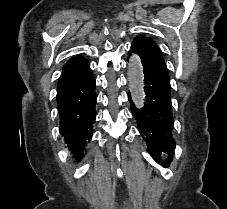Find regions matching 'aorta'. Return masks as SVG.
<instances>
[{
  "instance_id": "1",
  "label": "aorta",
  "mask_w": 227,
  "mask_h": 209,
  "mask_svg": "<svg viewBox=\"0 0 227 209\" xmlns=\"http://www.w3.org/2000/svg\"><path fill=\"white\" fill-rule=\"evenodd\" d=\"M129 90L136 105H143L145 100L144 73L140 58L133 54L128 62Z\"/></svg>"
}]
</instances>
